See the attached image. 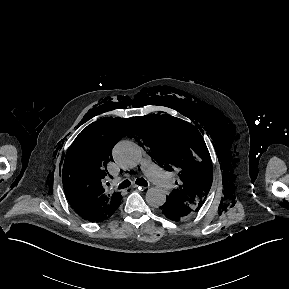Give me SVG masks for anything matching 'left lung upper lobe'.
<instances>
[{
	"label": "left lung upper lobe",
	"mask_w": 289,
	"mask_h": 289,
	"mask_svg": "<svg viewBox=\"0 0 289 289\" xmlns=\"http://www.w3.org/2000/svg\"><path fill=\"white\" fill-rule=\"evenodd\" d=\"M138 125L139 136L150 147L149 155L166 170L178 171V188L168 199L197 211L204 204L213 178L210 154L199 131L169 115L141 117Z\"/></svg>",
	"instance_id": "left-lung-upper-lobe-1"
}]
</instances>
